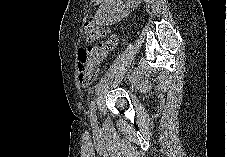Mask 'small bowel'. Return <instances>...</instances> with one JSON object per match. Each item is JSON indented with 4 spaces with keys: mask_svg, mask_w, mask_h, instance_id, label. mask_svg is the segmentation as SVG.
<instances>
[{
    "mask_svg": "<svg viewBox=\"0 0 227 157\" xmlns=\"http://www.w3.org/2000/svg\"><path fill=\"white\" fill-rule=\"evenodd\" d=\"M143 88H144V89H146L147 87H146V86H144Z\"/></svg>",
    "mask_w": 227,
    "mask_h": 157,
    "instance_id": "small-bowel-1",
    "label": "small bowel"
}]
</instances>
